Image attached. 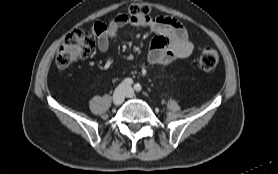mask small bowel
Instances as JSON below:
<instances>
[{
	"label": "small bowel",
	"mask_w": 278,
	"mask_h": 174,
	"mask_svg": "<svg viewBox=\"0 0 278 174\" xmlns=\"http://www.w3.org/2000/svg\"><path fill=\"white\" fill-rule=\"evenodd\" d=\"M113 19L117 20L116 32L97 37L98 50L103 54L109 50L110 39L124 27H145L156 35L148 52L151 64L167 66L177 59L189 57L194 50L185 27L173 17L146 13L136 16L121 14Z\"/></svg>",
	"instance_id": "c3829d8e"
}]
</instances>
